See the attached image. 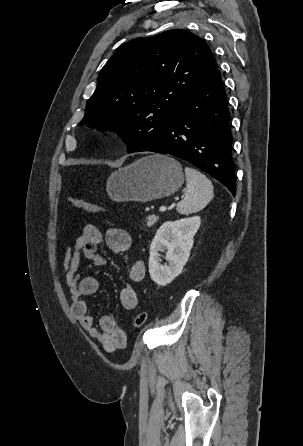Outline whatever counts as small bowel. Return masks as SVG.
I'll list each match as a JSON object with an SVG mask.
<instances>
[{"label":"small bowel","instance_id":"obj_1","mask_svg":"<svg viewBox=\"0 0 303 446\" xmlns=\"http://www.w3.org/2000/svg\"><path fill=\"white\" fill-rule=\"evenodd\" d=\"M105 242L114 253H122L131 246L130 234L118 227L109 228L103 235L98 227L86 225L82 234L76 239L73 246L66 247L62 266L65 273L66 284L70 289L71 310L80 325L96 339L103 349L112 353L126 348V332L117 324L111 315L100 317L98 326L94 325L93 317L88 312L84 297L95 294L100 287L96 277L83 275L80 271L82 259L90 261L89 267L102 266L105 259L97 253L98 246ZM146 267L142 260H133L128 266V276L133 282H140L145 278ZM120 302L124 309L133 310L138 305V297L130 286L124 287L120 292Z\"/></svg>","mask_w":303,"mask_h":446}]
</instances>
